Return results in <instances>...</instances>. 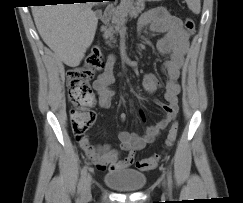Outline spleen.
I'll list each match as a JSON object with an SVG mask.
<instances>
[{"label": "spleen", "instance_id": "obj_1", "mask_svg": "<svg viewBox=\"0 0 243 203\" xmlns=\"http://www.w3.org/2000/svg\"><path fill=\"white\" fill-rule=\"evenodd\" d=\"M188 8L195 14H199L201 11L200 0H185Z\"/></svg>", "mask_w": 243, "mask_h": 203}]
</instances>
